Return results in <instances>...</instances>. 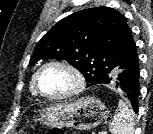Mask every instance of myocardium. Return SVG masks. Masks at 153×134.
I'll use <instances>...</instances> for the list:
<instances>
[{
	"label": "myocardium",
	"mask_w": 153,
	"mask_h": 134,
	"mask_svg": "<svg viewBox=\"0 0 153 134\" xmlns=\"http://www.w3.org/2000/svg\"><path fill=\"white\" fill-rule=\"evenodd\" d=\"M49 67H59L68 71L74 78V86L70 90L60 94L43 93L39 89L38 79L42 71ZM85 85H86V79L83 72L77 66L65 60L54 59V60L47 61L44 64H42L33 75V88L35 93L38 96L47 100H63V99L73 97L81 93L84 90Z\"/></svg>",
	"instance_id": "f54148a6"
}]
</instances>
